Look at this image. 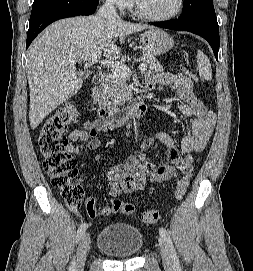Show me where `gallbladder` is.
I'll return each instance as SVG.
<instances>
[{
  "instance_id": "1",
  "label": "gallbladder",
  "mask_w": 253,
  "mask_h": 271,
  "mask_svg": "<svg viewBox=\"0 0 253 271\" xmlns=\"http://www.w3.org/2000/svg\"><path fill=\"white\" fill-rule=\"evenodd\" d=\"M90 75H91V71H89V70H81V71L79 72V76H80L82 79H87Z\"/></svg>"
}]
</instances>
